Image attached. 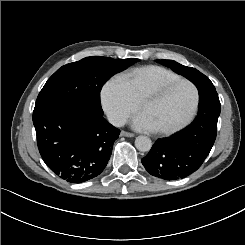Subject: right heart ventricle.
Masks as SVG:
<instances>
[{
	"label": "right heart ventricle",
	"mask_w": 245,
	"mask_h": 245,
	"mask_svg": "<svg viewBox=\"0 0 245 245\" xmlns=\"http://www.w3.org/2000/svg\"><path fill=\"white\" fill-rule=\"evenodd\" d=\"M177 79H180V76L173 71L154 65L130 69L115 77L118 83L126 87L136 102L145 87L154 83L164 84Z\"/></svg>",
	"instance_id": "e07e8e85"
}]
</instances>
